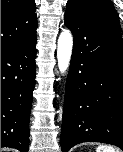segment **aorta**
Here are the masks:
<instances>
[{"label":"aorta","instance_id":"aorta-1","mask_svg":"<svg viewBox=\"0 0 123 152\" xmlns=\"http://www.w3.org/2000/svg\"><path fill=\"white\" fill-rule=\"evenodd\" d=\"M73 49V37L68 29H63L57 41L58 68L64 74L70 65Z\"/></svg>","mask_w":123,"mask_h":152}]
</instances>
